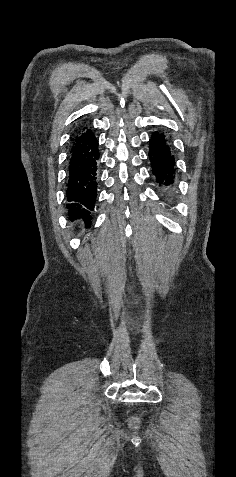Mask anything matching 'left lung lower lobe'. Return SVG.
<instances>
[{
	"label": "left lung lower lobe",
	"mask_w": 236,
	"mask_h": 477,
	"mask_svg": "<svg viewBox=\"0 0 236 477\" xmlns=\"http://www.w3.org/2000/svg\"><path fill=\"white\" fill-rule=\"evenodd\" d=\"M149 159L156 182L167 191L175 182V158L163 133H152L150 138Z\"/></svg>",
	"instance_id": "1"
}]
</instances>
